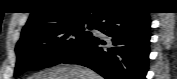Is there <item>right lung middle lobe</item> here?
<instances>
[{
    "label": "right lung middle lobe",
    "instance_id": "right-lung-middle-lobe-1",
    "mask_svg": "<svg viewBox=\"0 0 177 79\" xmlns=\"http://www.w3.org/2000/svg\"><path fill=\"white\" fill-rule=\"evenodd\" d=\"M91 21H75L34 31L18 41L15 76L33 68L57 65L90 35Z\"/></svg>",
    "mask_w": 177,
    "mask_h": 79
}]
</instances>
